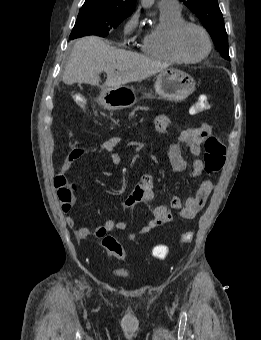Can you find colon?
<instances>
[{"label":"colon","mask_w":261,"mask_h":340,"mask_svg":"<svg viewBox=\"0 0 261 340\" xmlns=\"http://www.w3.org/2000/svg\"><path fill=\"white\" fill-rule=\"evenodd\" d=\"M210 108V102L204 95L200 96L192 107L194 114L201 113ZM204 170L207 173H216L222 169L226 159V147L222 140L216 136H210L204 143ZM58 199L62 210L68 212L76 201L75 187L63 175H58L54 180ZM193 234L190 231L182 233L180 241L190 243ZM102 245L105 250L113 257L124 260L126 252L123 246L113 237L105 236L102 238ZM169 255V247L163 244L156 245L152 250V256L157 260H165Z\"/></svg>","instance_id":"1"}]
</instances>
